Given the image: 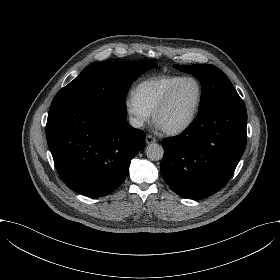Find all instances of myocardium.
Returning <instances> with one entry per match:
<instances>
[{
    "label": "myocardium",
    "mask_w": 280,
    "mask_h": 280,
    "mask_svg": "<svg viewBox=\"0 0 280 280\" xmlns=\"http://www.w3.org/2000/svg\"><path fill=\"white\" fill-rule=\"evenodd\" d=\"M188 80L195 81L199 86L200 95H199V100H198L196 109H195L194 113L192 114V116L184 123L177 124L170 128H164V130L167 134L176 135V134H180V133L184 132L185 130H187L189 127H191L195 123V121L197 120V118L200 114V111L202 109L204 98H205V88H204L202 81L195 76H185L167 93V95L165 96L163 101L155 109L154 119H155V121L158 122V118H159L160 114L169 107L175 93L183 85V83Z\"/></svg>",
    "instance_id": "obj_1"
}]
</instances>
